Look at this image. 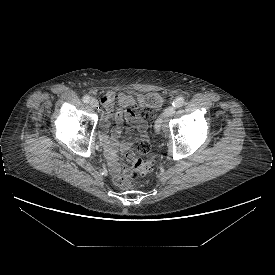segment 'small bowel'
<instances>
[{
	"instance_id": "small-bowel-1",
	"label": "small bowel",
	"mask_w": 275,
	"mask_h": 275,
	"mask_svg": "<svg viewBox=\"0 0 275 275\" xmlns=\"http://www.w3.org/2000/svg\"><path fill=\"white\" fill-rule=\"evenodd\" d=\"M102 101V129L100 138L104 145L108 160L110 173L116 183L121 184L129 174V169L124 168L121 171L117 158L118 138L121 135V129L115 127L111 131V136L106 134V128L111 119L117 122L127 120L129 122L138 123L142 131H145V125L142 123L139 107L143 104V95L133 91L127 92H107L101 99ZM130 144L124 141L120 145V150L126 152L127 160L133 158V154L129 152Z\"/></svg>"
}]
</instances>
